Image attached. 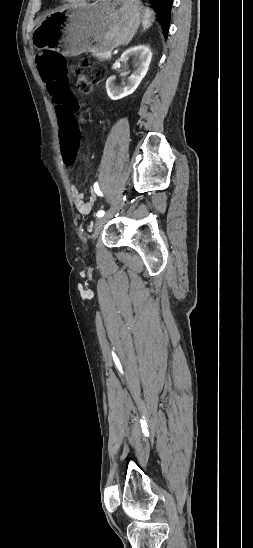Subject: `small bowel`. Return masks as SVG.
I'll list each match as a JSON object with an SVG mask.
<instances>
[{"instance_id": "small-bowel-1", "label": "small bowel", "mask_w": 253, "mask_h": 548, "mask_svg": "<svg viewBox=\"0 0 253 548\" xmlns=\"http://www.w3.org/2000/svg\"><path fill=\"white\" fill-rule=\"evenodd\" d=\"M64 60V59H62ZM41 75V74H40ZM61 130V128H60ZM63 144V142H62ZM77 146H78V139L76 141V149H77ZM70 189H71V193H72V197H73V201H74V204H75V207L76 209L82 214V215H88L94 204H95V198L92 197L90 198L89 200H86L83 196V194L80 192L78 186L76 184H71L70 186Z\"/></svg>"}]
</instances>
